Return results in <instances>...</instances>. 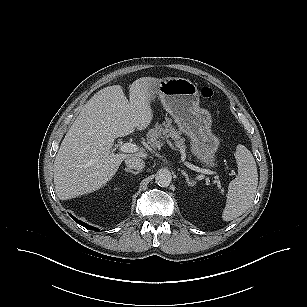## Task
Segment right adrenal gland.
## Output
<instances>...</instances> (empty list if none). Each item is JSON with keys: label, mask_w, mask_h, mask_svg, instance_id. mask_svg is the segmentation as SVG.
<instances>
[{"label": "right adrenal gland", "mask_w": 307, "mask_h": 307, "mask_svg": "<svg viewBox=\"0 0 307 307\" xmlns=\"http://www.w3.org/2000/svg\"><path fill=\"white\" fill-rule=\"evenodd\" d=\"M124 170H125V172H129V173H132L134 175H137L140 172V171H133L131 168H125Z\"/></svg>", "instance_id": "obj_1"}]
</instances>
